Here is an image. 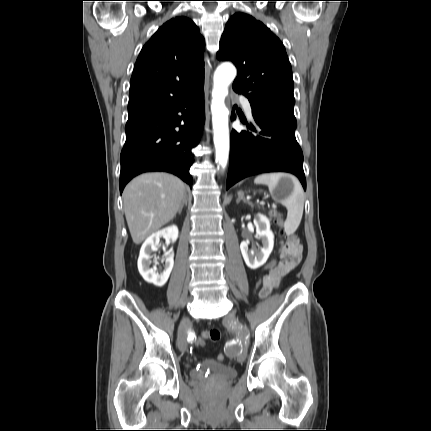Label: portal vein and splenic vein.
<instances>
[{"label":"portal vein and splenic vein","instance_id":"1","mask_svg":"<svg viewBox=\"0 0 431 431\" xmlns=\"http://www.w3.org/2000/svg\"><path fill=\"white\" fill-rule=\"evenodd\" d=\"M260 204H261V205H263V204H264V202H260Z\"/></svg>","mask_w":431,"mask_h":431}]
</instances>
